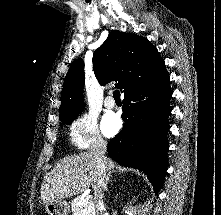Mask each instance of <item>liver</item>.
Returning a JSON list of instances; mask_svg holds the SVG:
<instances>
[{
    "label": "liver",
    "instance_id": "obj_1",
    "mask_svg": "<svg viewBox=\"0 0 221 215\" xmlns=\"http://www.w3.org/2000/svg\"><path fill=\"white\" fill-rule=\"evenodd\" d=\"M105 166L106 171L114 172L112 160L107 159ZM97 176V162L91 152L64 157L46 174L41 185V200L46 204L72 197L94 187Z\"/></svg>",
    "mask_w": 221,
    "mask_h": 215
}]
</instances>
